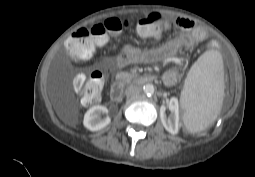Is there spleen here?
<instances>
[{
	"mask_svg": "<svg viewBox=\"0 0 255 177\" xmlns=\"http://www.w3.org/2000/svg\"><path fill=\"white\" fill-rule=\"evenodd\" d=\"M224 93L222 56L218 51L203 53L187 74L180 103L183 120L190 132H200L218 117Z\"/></svg>",
	"mask_w": 255,
	"mask_h": 177,
	"instance_id": "obj_1",
	"label": "spleen"
}]
</instances>
